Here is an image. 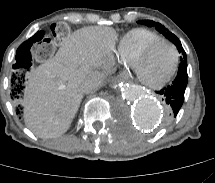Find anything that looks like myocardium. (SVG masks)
<instances>
[{"instance_id": "obj_1", "label": "myocardium", "mask_w": 215, "mask_h": 183, "mask_svg": "<svg viewBox=\"0 0 215 183\" xmlns=\"http://www.w3.org/2000/svg\"><path fill=\"white\" fill-rule=\"evenodd\" d=\"M161 43H166V44L170 45L171 48L174 50V54H175L174 66L172 68V71L169 73V75L166 78H164L162 81H160L158 83H148V82L144 81L140 75L139 63L145 59V57L150 53V51L155 46H157L158 44H161ZM179 62H180V53H179L177 47L175 46V44L167 39L161 38V39H158V40L150 43L149 45H147L141 51V53L133 60L131 66H130V69H131L136 81L140 85H142L150 90H159V89H162L163 87H165L167 84H169L173 80V78L177 74V71L179 68Z\"/></svg>"}]
</instances>
